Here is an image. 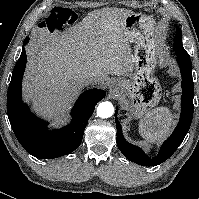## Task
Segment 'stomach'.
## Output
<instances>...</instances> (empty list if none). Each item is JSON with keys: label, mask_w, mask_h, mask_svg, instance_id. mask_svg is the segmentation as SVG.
Masks as SVG:
<instances>
[{"label": "stomach", "mask_w": 199, "mask_h": 199, "mask_svg": "<svg viewBox=\"0 0 199 199\" xmlns=\"http://www.w3.org/2000/svg\"><path fill=\"white\" fill-rule=\"evenodd\" d=\"M123 28L129 42L134 43L133 72L129 79H118L116 85L127 98L126 109L133 117L141 118L155 107L162 97V87L154 76L158 57L157 35L153 20L142 14L128 15Z\"/></svg>", "instance_id": "obj_1"}]
</instances>
